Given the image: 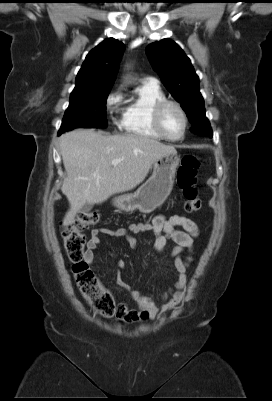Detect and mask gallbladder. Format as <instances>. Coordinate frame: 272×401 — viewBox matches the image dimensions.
Instances as JSON below:
<instances>
[{"instance_id": "bac80fb5", "label": "gallbladder", "mask_w": 272, "mask_h": 401, "mask_svg": "<svg viewBox=\"0 0 272 401\" xmlns=\"http://www.w3.org/2000/svg\"><path fill=\"white\" fill-rule=\"evenodd\" d=\"M92 207H93L92 204L86 203L81 207L80 212L83 213V214H86L92 209Z\"/></svg>"}]
</instances>
